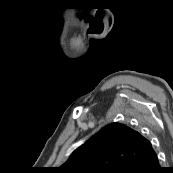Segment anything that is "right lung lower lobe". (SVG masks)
Returning a JSON list of instances; mask_svg holds the SVG:
<instances>
[{"instance_id": "obj_1", "label": "right lung lower lobe", "mask_w": 173, "mask_h": 173, "mask_svg": "<svg viewBox=\"0 0 173 173\" xmlns=\"http://www.w3.org/2000/svg\"><path fill=\"white\" fill-rule=\"evenodd\" d=\"M123 173H162L155 151L132 163Z\"/></svg>"}]
</instances>
